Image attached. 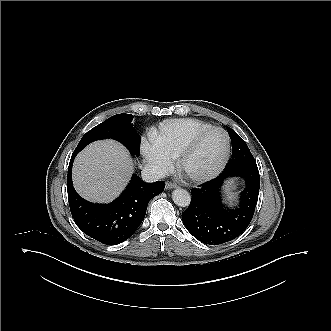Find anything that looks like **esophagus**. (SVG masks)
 Returning a JSON list of instances; mask_svg holds the SVG:
<instances>
[{
	"mask_svg": "<svg viewBox=\"0 0 331 331\" xmlns=\"http://www.w3.org/2000/svg\"><path fill=\"white\" fill-rule=\"evenodd\" d=\"M178 186L175 184V183H172V182H166V189L169 190V189H173V188H177Z\"/></svg>",
	"mask_w": 331,
	"mask_h": 331,
	"instance_id": "34e87169",
	"label": "esophagus"
}]
</instances>
